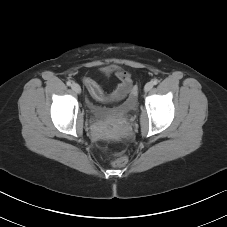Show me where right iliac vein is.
Listing matches in <instances>:
<instances>
[{
  "mask_svg": "<svg viewBox=\"0 0 227 227\" xmlns=\"http://www.w3.org/2000/svg\"><path fill=\"white\" fill-rule=\"evenodd\" d=\"M71 88H72V90H73L75 93H77V94H80V93H81V87H80L79 84L73 83V84L71 85Z\"/></svg>",
  "mask_w": 227,
  "mask_h": 227,
  "instance_id": "63e3f726",
  "label": "right iliac vein"
}]
</instances>
